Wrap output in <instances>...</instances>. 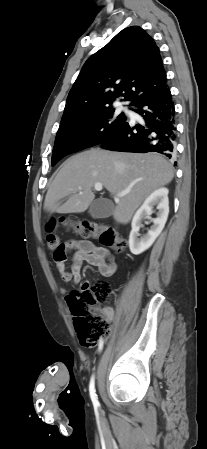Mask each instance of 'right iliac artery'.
Returning <instances> with one entry per match:
<instances>
[{"mask_svg":"<svg viewBox=\"0 0 207 449\" xmlns=\"http://www.w3.org/2000/svg\"><path fill=\"white\" fill-rule=\"evenodd\" d=\"M103 344H104V342L101 339L100 342H99V351L102 350ZM89 392H90V397H91V400H92V403H93L94 407H98L99 406V402H98V398H97L96 391H95L94 375L91 377V380H90Z\"/></svg>","mask_w":207,"mask_h":449,"instance_id":"right-iliac-artery-1","label":"right iliac artery"}]
</instances>
